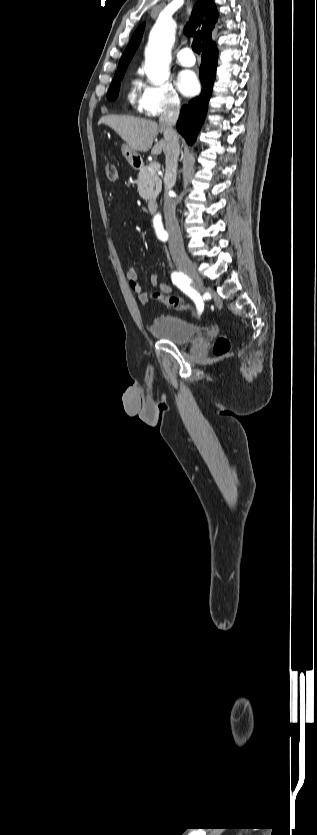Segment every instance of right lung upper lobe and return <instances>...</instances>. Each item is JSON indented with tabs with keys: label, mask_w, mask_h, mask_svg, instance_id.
<instances>
[{
	"label": "right lung upper lobe",
	"mask_w": 317,
	"mask_h": 835,
	"mask_svg": "<svg viewBox=\"0 0 317 835\" xmlns=\"http://www.w3.org/2000/svg\"><path fill=\"white\" fill-rule=\"evenodd\" d=\"M218 20V11L212 0H199L193 9L190 22L185 28L187 35H198L202 42L205 43L211 40L212 32ZM145 24H141L133 34L125 52L123 53L118 69L127 67L131 61L144 31Z\"/></svg>",
	"instance_id": "1"
}]
</instances>
